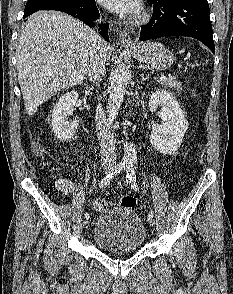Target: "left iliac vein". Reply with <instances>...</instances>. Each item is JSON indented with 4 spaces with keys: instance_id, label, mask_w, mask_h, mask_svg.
Listing matches in <instances>:
<instances>
[{
    "instance_id": "obj_1",
    "label": "left iliac vein",
    "mask_w": 233,
    "mask_h": 294,
    "mask_svg": "<svg viewBox=\"0 0 233 294\" xmlns=\"http://www.w3.org/2000/svg\"><path fill=\"white\" fill-rule=\"evenodd\" d=\"M147 222H148V224H149L150 226H152V227L155 225V220H154L153 217L148 216V217H147Z\"/></svg>"
}]
</instances>
